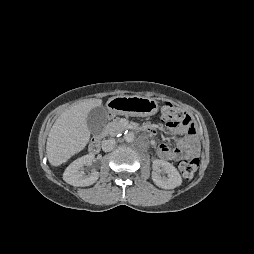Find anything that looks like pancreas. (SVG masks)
Instances as JSON below:
<instances>
[{
    "label": "pancreas",
    "instance_id": "1",
    "mask_svg": "<svg viewBox=\"0 0 254 254\" xmlns=\"http://www.w3.org/2000/svg\"><path fill=\"white\" fill-rule=\"evenodd\" d=\"M108 126H109V134L111 135H115L119 132H122L125 129L119 119H114L112 122L108 124Z\"/></svg>",
    "mask_w": 254,
    "mask_h": 254
}]
</instances>
